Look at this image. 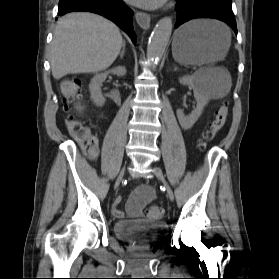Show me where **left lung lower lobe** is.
Listing matches in <instances>:
<instances>
[{"mask_svg":"<svg viewBox=\"0 0 279 279\" xmlns=\"http://www.w3.org/2000/svg\"><path fill=\"white\" fill-rule=\"evenodd\" d=\"M176 10V28L191 19L214 18L227 23L237 34L232 0H178Z\"/></svg>","mask_w":279,"mask_h":279,"instance_id":"left-lung-lower-lobe-1","label":"left lung lower lobe"}]
</instances>
